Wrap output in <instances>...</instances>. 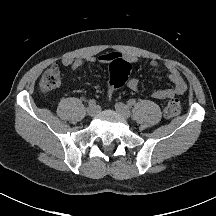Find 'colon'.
Here are the masks:
<instances>
[{
  "label": "colon",
  "instance_id": "5ec220e1",
  "mask_svg": "<svg viewBox=\"0 0 216 216\" xmlns=\"http://www.w3.org/2000/svg\"><path fill=\"white\" fill-rule=\"evenodd\" d=\"M130 71L131 64L125 61L117 62L112 66L108 81L109 94H112L114 90L126 83ZM60 82V70L57 67H51L40 78L39 88L42 92H49L56 89L60 85ZM180 110V100L172 98L167 102L164 113L167 117H174L179 114Z\"/></svg>",
  "mask_w": 216,
  "mask_h": 216
}]
</instances>
